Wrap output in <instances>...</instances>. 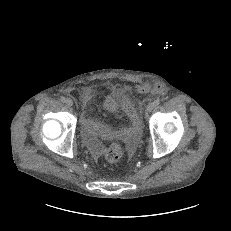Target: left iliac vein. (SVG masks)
Here are the masks:
<instances>
[{
    "instance_id": "4c4485c4",
    "label": "left iliac vein",
    "mask_w": 231,
    "mask_h": 231,
    "mask_svg": "<svg viewBox=\"0 0 231 231\" xmlns=\"http://www.w3.org/2000/svg\"><path fill=\"white\" fill-rule=\"evenodd\" d=\"M154 107H155L154 103H153V102H150V103H148V105H147V107H146V110H147L148 112H151V111L154 109Z\"/></svg>"
}]
</instances>
